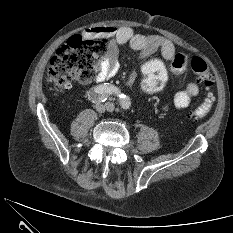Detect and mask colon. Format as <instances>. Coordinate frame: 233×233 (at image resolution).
<instances>
[{"label": "colon", "mask_w": 233, "mask_h": 233, "mask_svg": "<svg viewBox=\"0 0 233 233\" xmlns=\"http://www.w3.org/2000/svg\"><path fill=\"white\" fill-rule=\"evenodd\" d=\"M108 41L105 38H86L80 35L70 38L51 58L46 80L57 91L67 90L73 82H88L95 76L97 62L105 56ZM168 62L173 74H181L188 67L197 75L198 82L207 90L214 84V77L207 63L200 57L189 58L175 54ZM142 89L146 93L160 91L167 80L168 67L158 59H149L142 65ZM214 96L208 92L191 117L202 118L211 109Z\"/></svg>", "instance_id": "5ec220e1"}]
</instances>
